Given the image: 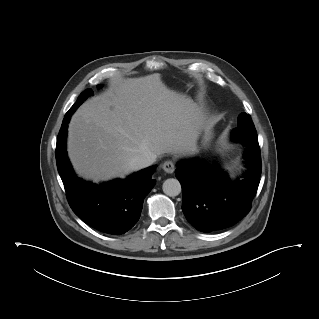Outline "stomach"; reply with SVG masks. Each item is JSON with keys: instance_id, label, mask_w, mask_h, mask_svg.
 <instances>
[{"instance_id": "1", "label": "stomach", "mask_w": 319, "mask_h": 319, "mask_svg": "<svg viewBox=\"0 0 319 319\" xmlns=\"http://www.w3.org/2000/svg\"><path fill=\"white\" fill-rule=\"evenodd\" d=\"M204 135L202 139V144L205 148L209 147L210 142L213 138V123H206L204 125Z\"/></svg>"}]
</instances>
